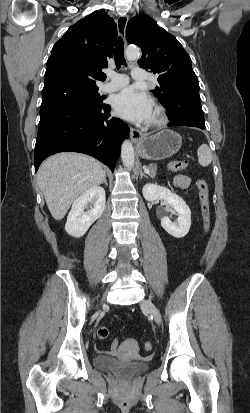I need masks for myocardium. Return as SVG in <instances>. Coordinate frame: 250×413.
I'll return each mask as SVG.
<instances>
[{"label":"myocardium","instance_id":"1","mask_svg":"<svg viewBox=\"0 0 250 413\" xmlns=\"http://www.w3.org/2000/svg\"><path fill=\"white\" fill-rule=\"evenodd\" d=\"M168 115L166 108L160 103H154L153 105V117L149 121L151 127H162L167 123Z\"/></svg>","mask_w":250,"mask_h":413}]
</instances>
